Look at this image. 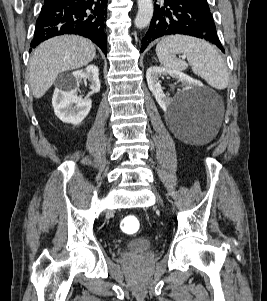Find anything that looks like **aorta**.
Here are the masks:
<instances>
[{"label": "aorta", "instance_id": "obj_1", "mask_svg": "<svg viewBox=\"0 0 267 301\" xmlns=\"http://www.w3.org/2000/svg\"><path fill=\"white\" fill-rule=\"evenodd\" d=\"M138 13L135 18V26L138 29L147 27L153 17L154 7L152 0H137Z\"/></svg>", "mask_w": 267, "mask_h": 301}]
</instances>
